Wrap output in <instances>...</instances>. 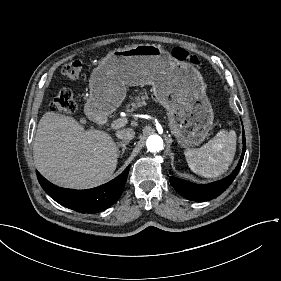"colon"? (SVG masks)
I'll return each instance as SVG.
<instances>
[{"mask_svg":"<svg viewBox=\"0 0 281 281\" xmlns=\"http://www.w3.org/2000/svg\"><path fill=\"white\" fill-rule=\"evenodd\" d=\"M173 56L180 61L188 62L191 64H199L200 60L196 55H193L183 48L177 47L173 52ZM83 61L73 60L62 68V75L69 80H77L82 75ZM51 108L53 113L71 114L76 109V102L71 91L62 90L52 100Z\"/></svg>","mask_w":281,"mask_h":281,"instance_id":"5ec220e1","label":"colon"}]
</instances>
